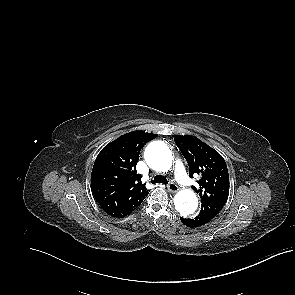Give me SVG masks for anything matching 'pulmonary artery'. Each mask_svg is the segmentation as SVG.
<instances>
[{
	"mask_svg": "<svg viewBox=\"0 0 295 295\" xmlns=\"http://www.w3.org/2000/svg\"><path fill=\"white\" fill-rule=\"evenodd\" d=\"M174 173L176 179L181 183L182 185L185 186H190L192 184L191 179L189 178L186 169L184 167V164L182 163L181 160H176L174 163Z\"/></svg>",
	"mask_w": 295,
	"mask_h": 295,
	"instance_id": "1",
	"label": "pulmonary artery"
}]
</instances>
